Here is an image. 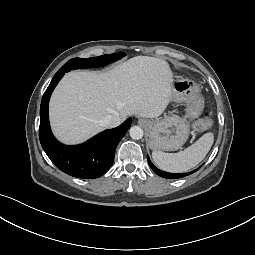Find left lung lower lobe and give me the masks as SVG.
<instances>
[{
  "label": "left lung lower lobe",
  "mask_w": 255,
  "mask_h": 255,
  "mask_svg": "<svg viewBox=\"0 0 255 255\" xmlns=\"http://www.w3.org/2000/svg\"><path fill=\"white\" fill-rule=\"evenodd\" d=\"M147 160H148V163L150 165V167L152 168V170L158 174L159 176L161 177H164V178H168V179H177V178H182L184 176H187L189 174H192L194 173L196 170L192 171V172H188V173H183V174H174V173H168V172H164V171H161L159 169H157L150 161L149 157L147 156Z\"/></svg>",
  "instance_id": "0a47b994"
}]
</instances>
